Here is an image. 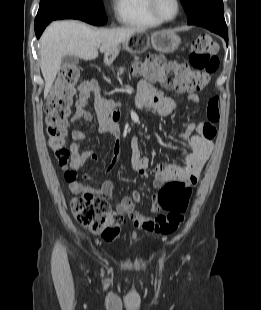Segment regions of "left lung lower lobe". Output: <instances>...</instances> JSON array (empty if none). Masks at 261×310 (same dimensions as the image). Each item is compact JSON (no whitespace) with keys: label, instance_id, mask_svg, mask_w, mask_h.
I'll use <instances>...</instances> for the list:
<instances>
[{"label":"left lung lower lobe","instance_id":"left-lung-lower-lobe-1","mask_svg":"<svg viewBox=\"0 0 261 310\" xmlns=\"http://www.w3.org/2000/svg\"><path fill=\"white\" fill-rule=\"evenodd\" d=\"M194 25H199V26L205 27L208 30L219 34L220 36H222L225 39V41L228 45V30H227L226 25H221V24L213 22V21L198 22Z\"/></svg>","mask_w":261,"mask_h":310}]
</instances>
